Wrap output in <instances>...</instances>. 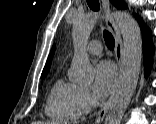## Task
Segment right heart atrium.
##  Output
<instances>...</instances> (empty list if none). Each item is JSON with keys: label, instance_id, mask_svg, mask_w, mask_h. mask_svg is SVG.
Returning <instances> with one entry per match:
<instances>
[{"label": "right heart atrium", "instance_id": "d8ad5b80", "mask_svg": "<svg viewBox=\"0 0 156 124\" xmlns=\"http://www.w3.org/2000/svg\"><path fill=\"white\" fill-rule=\"evenodd\" d=\"M92 106H93V97L91 93L86 89H80L77 99L79 116L88 113L91 110Z\"/></svg>", "mask_w": 156, "mask_h": 124}]
</instances>
